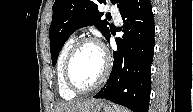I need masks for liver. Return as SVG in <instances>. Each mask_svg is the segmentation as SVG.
<instances>
[{
  "instance_id": "obj_1",
  "label": "liver",
  "mask_w": 193,
  "mask_h": 112,
  "mask_svg": "<svg viewBox=\"0 0 193 112\" xmlns=\"http://www.w3.org/2000/svg\"><path fill=\"white\" fill-rule=\"evenodd\" d=\"M98 100H74L61 103L55 109V112H85L92 107Z\"/></svg>"
}]
</instances>
